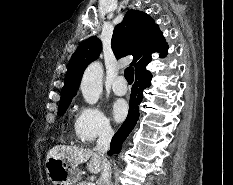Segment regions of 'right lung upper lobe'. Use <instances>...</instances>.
<instances>
[{
  "label": "right lung upper lobe",
  "mask_w": 233,
  "mask_h": 185,
  "mask_svg": "<svg viewBox=\"0 0 233 185\" xmlns=\"http://www.w3.org/2000/svg\"><path fill=\"white\" fill-rule=\"evenodd\" d=\"M111 46L117 58L133 56L131 65L136 72L146 68L152 53L160 52V57H164L168 50L158 25L150 16L136 10H129L123 21L115 26ZM101 48V41L96 36L78 47L69 62L60 102L71 101L76 95L84 70L98 58Z\"/></svg>",
  "instance_id": "cb5924a9"
}]
</instances>
